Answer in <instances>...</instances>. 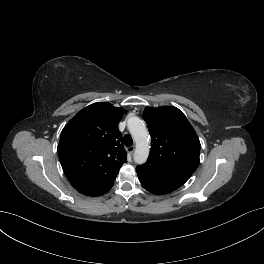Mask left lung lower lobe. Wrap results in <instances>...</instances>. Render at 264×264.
I'll return each instance as SVG.
<instances>
[{"label":"left lung lower lobe","mask_w":264,"mask_h":264,"mask_svg":"<svg viewBox=\"0 0 264 264\" xmlns=\"http://www.w3.org/2000/svg\"><path fill=\"white\" fill-rule=\"evenodd\" d=\"M136 172L143 187L157 195L169 193L187 181L167 174L158 165L149 162L138 166Z\"/></svg>","instance_id":"0a47b994"}]
</instances>
